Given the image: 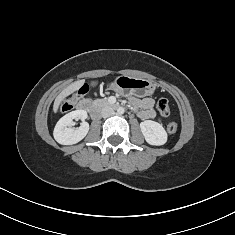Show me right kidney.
<instances>
[{"label":"right kidney","mask_w":235,"mask_h":235,"mask_svg":"<svg viewBox=\"0 0 235 235\" xmlns=\"http://www.w3.org/2000/svg\"><path fill=\"white\" fill-rule=\"evenodd\" d=\"M87 112L85 110H75L63 116L54 128V139L62 145H72L81 141L89 131V124L85 122ZM80 119V127L73 128V120Z\"/></svg>","instance_id":"obj_1"}]
</instances>
